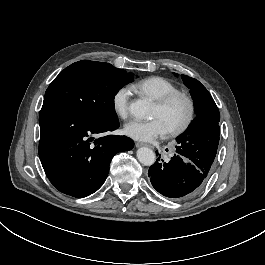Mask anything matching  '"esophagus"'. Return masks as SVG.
Wrapping results in <instances>:
<instances>
[{
	"label": "esophagus",
	"mask_w": 265,
	"mask_h": 265,
	"mask_svg": "<svg viewBox=\"0 0 265 265\" xmlns=\"http://www.w3.org/2000/svg\"><path fill=\"white\" fill-rule=\"evenodd\" d=\"M136 147H148L150 149H153L154 147L148 143H143V142H137L135 144Z\"/></svg>",
	"instance_id": "obj_1"
}]
</instances>
